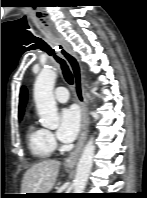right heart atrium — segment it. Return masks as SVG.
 <instances>
[{
    "instance_id": "obj_1",
    "label": "right heart atrium",
    "mask_w": 147,
    "mask_h": 198,
    "mask_svg": "<svg viewBox=\"0 0 147 198\" xmlns=\"http://www.w3.org/2000/svg\"><path fill=\"white\" fill-rule=\"evenodd\" d=\"M48 140H49L51 146L54 148L56 146V140L50 131H48Z\"/></svg>"
}]
</instances>
